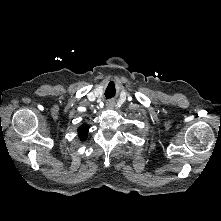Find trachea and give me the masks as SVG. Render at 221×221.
Here are the masks:
<instances>
[{"label": "trachea", "instance_id": "trachea-1", "mask_svg": "<svg viewBox=\"0 0 221 221\" xmlns=\"http://www.w3.org/2000/svg\"><path fill=\"white\" fill-rule=\"evenodd\" d=\"M107 98H110L111 96L107 95V93L105 94Z\"/></svg>", "mask_w": 221, "mask_h": 221}]
</instances>
